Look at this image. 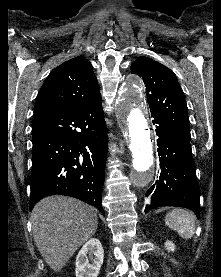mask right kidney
Segmentation results:
<instances>
[{
	"mask_svg": "<svg viewBox=\"0 0 221 277\" xmlns=\"http://www.w3.org/2000/svg\"><path fill=\"white\" fill-rule=\"evenodd\" d=\"M103 261L104 250L100 241L97 238L88 240L76 257V277H97Z\"/></svg>",
	"mask_w": 221,
	"mask_h": 277,
	"instance_id": "1",
	"label": "right kidney"
}]
</instances>
